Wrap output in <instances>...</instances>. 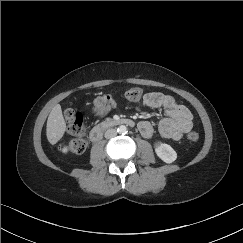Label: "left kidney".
<instances>
[{
	"mask_svg": "<svg viewBox=\"0 0 243 243\" xmlns=\"http://www.w3.org/2000/svg\"><path fill=\"white\" fill-rule=\"evenodd\" d=\"M154 147L157 156L165 163L170 164L176 160L177 153L170 145L157 142L155 143Z\"/></svg>",
	"mask_w": 243,
	"mask_h": 243,
	"instance_id": "1",
	"label": "left kidney"
}]
</instances>
